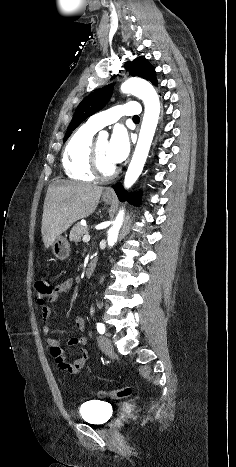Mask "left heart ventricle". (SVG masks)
<instances>
[{"label":"left heart ventricle","mask_w":236,"mask_h":467,"mask_svg":"<svg viewBox=\"0 0 236 467\" xmlns=\"http://www.w3.org/2000/svg\"><path fill=\"white\" fill-rule=\"evenodd\" d=\"M96 144H97L98 154L100 157L101 166L105 171H109L115 164L111 162L107 154L108 141L100 140V141H97Z\"/></svg>","instance_id":"left-heart-ventricle-1"}]
</instances>
